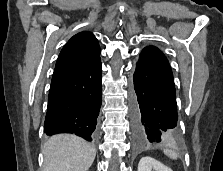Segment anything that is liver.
<instances>
[{
  "label": "liver",
  "mask_w": 223,
  "mask_h": 171,
  "mask_svg": "<svg viewBox=\"0 0 223 171\" xmlns=\"http://www.w3.org/2000/svg\"><path fill=\"white\" fill-rule=\"evenodd\" d=\"M42 171H87L96 149L75 135L59 134L49 138L42 147Z\"/></svg>",
  "instance_id": "6515ba94"
}]
</instances>
